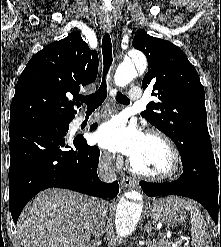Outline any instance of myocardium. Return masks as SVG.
Wrapping results in <instances>:
<instances>
[{
    "mask_svg": "<svg viewBox=\"0 0 221 247\" xmlns=\"http://www.w3.org/2000/svg\"><path fill=\"white\" fill-rule=\"evenodd\" d=\"M146 136L154 137L162 141L169 149L171 158H172V166L171 169L163 174H148L138 170L132 163L131 159L128 161V166L130 171L137 177L150 180V181H169L177 178L183 171V159L181 152L175 142L164 132L157 129H150L147 131Z\"/></svg>",
    "mask_w": 221,
    "mask_h": 247,
    "instance_id": "f54148a6",
    "label": "myocardium"
}]
</instances>
